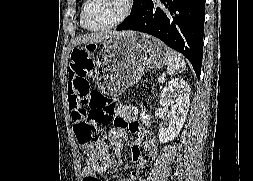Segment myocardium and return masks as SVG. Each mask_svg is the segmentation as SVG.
Listing matches in <instances>:
<instances>
[{
  "label": "myocardium",
  "instance_id": "1",
  "mask_svg": "<svg viewBox=\"0 0 253 181\" xmlns=\"http://www.w3.org/2000/svg\"><path fill=\"white\" fill-rule=\"evenodd\" d=\"M92 0H86L82 10H81V16H80V20H81V25L83 26V28H85L88 31L91 32H101V31H106L109 29H113L115 27H118L119 25H121L122 23H124L129 16L132 13L133 10V6H134V0H125V8L123 13L121 14V16L119 18H117L115 21H113L112 23L105 25L103 27L100 28H91L89 26H87L86 22H85V13H86V9L88 7V5L90 4Z\"/></svg>",
  "mask_w": 253,
  "mask_h": 181
}]
</instances>
